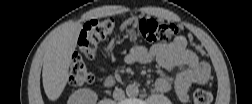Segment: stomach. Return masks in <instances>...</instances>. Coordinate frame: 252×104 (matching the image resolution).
I'll list each match as a JSON object with an SVG mask.
<instances>
[{
  "instance_id": "0dacf381",
  "label": "stomach",
  "mask_w": 252,
  "mask_h": 104,
  "mask_svg": "<svg viewBox=\"0 0 252 104\" xmlns=\"http://www.w3.org/2000/svg\"><path fill=\"white\" fill-rule=\"evenodd\" d=\"M128 33L132 39H135L136 33L134 31V27L128 30Z\"/></svg>"
}]
</instances>
